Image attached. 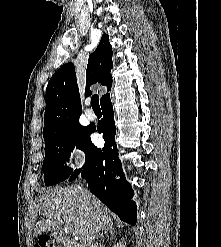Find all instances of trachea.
<instances>
[{
  "label": "trachea",
  "mask_w": 221,
  "mask_h": 247,
  "mask_svg": "<svg viewBox=\"0 0 221 247\" xmlns=\"http://www.w3.org/2000/svg\"><path fill=\"white\" fill-rule=\"evenodd\" d=\"M91 102H92V108L94 110H101L100 109L99 96L98 95H93L92 98H91Z\"/></svg>",
  "instance_id": "trachea-1"
}]
</instances>
